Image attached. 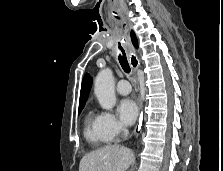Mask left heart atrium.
<instances>
[{
    "label": "left heart atrium",
    "mask_w": 223,
    "mask_h": 171,
    "mask_svg": "<svg viewBox=\"0 0 223 171\" xmlns=\"http://www.w3.org/2000/svg\"><path fill=\"white\" fill-rule=\"evenodd\" d=\"M138 106L132 99H124L118 105V113L123 124L131 125L138 116Z\"/></svg>",
    "instance_id": "obj_1"
}]
</instances>
